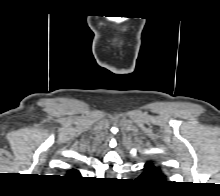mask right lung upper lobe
<instances>
[{
	"instance_id": "1",
	"label": "right lung upper lobe",
	"mask_w": 220,
	"mask_h": 196,
	"mask_svg": "<svg viewBox=\"0 0 220 196\" xmlns=\"http://www.w3.org/2000/svg\"><path fill=\"white\" fill-rule=\"evenodd\" d=\"M69 173H70V174H72V173L78 174V171H76V170H74V169H71V170H69Z\"/></svg>"
}]
</instances>
